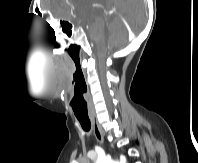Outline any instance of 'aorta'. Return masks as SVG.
I'll list each match as a JSON object with an SVG mask.
<instances>
[{
  "label": "aorta",
  "instance_id": "1",
  "mask_svg": "<svg viewBox=\"0 0 198 163\" xmlns=\"http://www.w3.org/2000/svg\"><path fill=\"white\" fill-rule=\"evenodd\" d=\"M95 163H114L112 160L108 159L106 156H98Z\"/></svg>",
  "mask_w": 198,
  "mask_h": 163
}]
</instances>
